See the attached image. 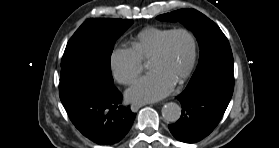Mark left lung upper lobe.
<instances>
[{
	"label": "left lung upper lobe",
	"instance_id": "obj_1",
	"mask_svg": "<svg viewBox=\"0 0 279 148\" xmlns=\"http://www.w3.org/2000/svg\"><path fill=\"white\" fill-rule=\"evenodd\" d=\"M161 21H179L196 36L200 47L198 66L191 77L197 78L208 70L233 65L230 44L217 24L195 9H181L157 16Z\"/></svg>",
	"mask_w": 279,
	"mask_h": 148
}]
</instances>
